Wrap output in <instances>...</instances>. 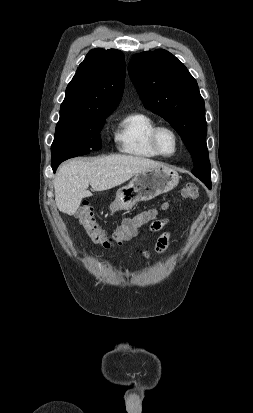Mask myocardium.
<instances>
[{"instance_id": "obj_1", "label": "myocardium", "mask_w": 253, "mask_h": 413, "mask_svg": "<svg viewBox=\"0 0 253 413\" xmlns=\"http://www.w3.org/2000/svg\"><path fill=\"white\" fill-rule=\"evenodd\" d=\"M162 130H167V131H169V132L173 135V137H174V139H175V144H176V146H175V150H174V152H173L172 154H165V153L162 152V150L160 149V146H159V143H158V136H159V133H160ZM149 140H150V144H151L153 150H154L159 156H162V157H166V158L173 157L174 155L177 154V152L179 151V148H180V137H179L177 131H176L173 127H171V126H169V125H166V124H158V125H156V126L151 130V132H150Z\"/></svg>"}]
</instances>
